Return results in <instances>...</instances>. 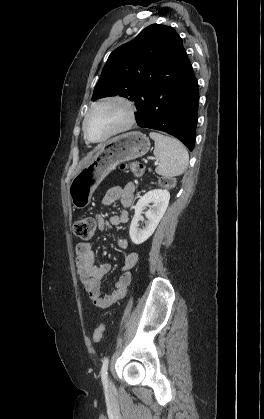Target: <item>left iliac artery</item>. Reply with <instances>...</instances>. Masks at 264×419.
Listing matches in <instances>:
<instances>
[{"instance_id": "1", "label": "left iliac artery", "mask_w": 264, "mask_h": 419, "mask_svg": "<svg viewBox=\"0 0 264 419\" xmlns=\"http://www.w3.org/2000/svg\"><path fill=\"white\" fill-rule=\"evenodd\" d=\"M108 363H109V358L107 357L103 361L101 372H100L101 373L102 382H103V384L105 386L108 385V379H107Z\"/></svg>"}]
</instances>
